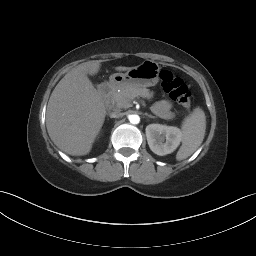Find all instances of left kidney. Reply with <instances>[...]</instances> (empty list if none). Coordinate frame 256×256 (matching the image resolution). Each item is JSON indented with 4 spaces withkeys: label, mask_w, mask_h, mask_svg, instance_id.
I'll list each match as a JSON object with an SVG mask.
<instances>
[{
    "label": "left kidney",
    "mask_w": 256,
    "mask_h": 256,
    "mask_svg": "<svg viewBox=\"0 0 256 256\" xmlns=\"http://www.w3.org/2000/svg\"><path fill=\"white\" fill-rule=\"evenodd\" d=\"M146 137L150 149L157 155L172 153L182 140V132L174 126L149 124L146 127Z\"/></svg>",
    "instance_id": "left-kidney-1"
}]
</instances>
